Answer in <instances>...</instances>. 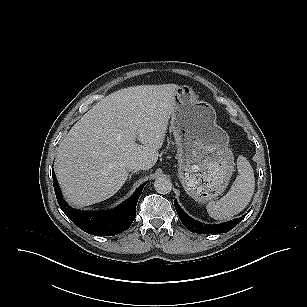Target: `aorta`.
Masks as SVG:
<instances>
[{"instance_id": "obj_1", "label": "aorta", "mask_w": 307, "mask_h": 307, "mask_svg": "<svg viewBox=\"0 0 307 307\" xmlns=\"http://www.w3.org/2000/svg\"><path fill=\"white\" fill-rule=\"evenodd\" d=\"M154 188L159 194H168L172 190V183L166 176H160L155 179Z\"/></svg>"}]
</instances>
